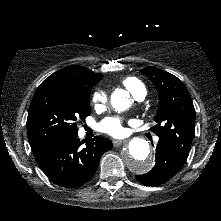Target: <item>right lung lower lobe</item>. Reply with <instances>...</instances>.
<instances>
[{"instance_id": "98d812e1", "label": "right lung lower lobe", "mask_w": 221, "mask_h": 221, "mask_svg": "<svg viewBox=\"0 0 221 221\" xmlns=\"http://www.w3.org/2000/svg\"><path fill=\"white\" fill-rule=\"evenodd\" d=\"M112 147L110 140L99 136L89 141H80L77 132L31 146L47 177L68 188L79 187L88 182L95 174L102 154Z\"/></svg>"}]
</instances>
